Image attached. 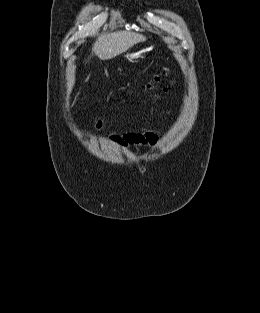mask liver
Here are the masks:
<instances>
[{
  "label": "liver",
  "mask_w": 260,
  "mask_h": 313,
  "mask_svg": "<svg viewBox=\"0 0 260 313\" xmlns=\"http://www.w3.org/2000/svg\"><path fill=\"white\" fill-rule=\"evenodd\" d=\"M145 40L146 38L138 33L117 31L99 37L94 43L92 51L101 60H109Z\"/></svg>",
  "instance_id": "liver-1"
}]
</instances>
